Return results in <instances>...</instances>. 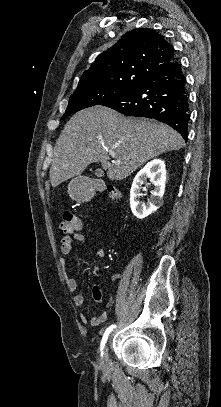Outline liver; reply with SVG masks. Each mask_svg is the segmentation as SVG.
I'll return each mask as SVG.
<instances>
[{
    "mask_svg": "<svg viewBox=\"0 0 221 407\" xmlns=\"http://www.w3.org/2000/svg\"><path fill=\"white\" fill-rule=\"evenodd\" d=\"M182 147L183 138L168 125L126 118L104 106L90 107L73 115L57 139L50 182L57 187L94 162L102 164L110 180H123L148 160Z\"/></svg>",
    "mask_w": 221,
    "mask_h": 407,
    "instance_id": "obj_1",
    "label": "liver"
}]
</instances>
